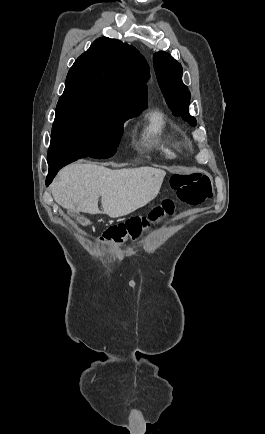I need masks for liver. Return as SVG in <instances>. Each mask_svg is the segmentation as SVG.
<instances>
[{
    "label": "liver",
    "instance_id": "obj_1",
    "mask_svg": "<svg viewBox=\"0 0 265 434\" xmlns=\"http://www.w3.org/2000/svg\"><path fill=\"white\" fill-rule=\"evenodd\" d=\"M166 172L156 168L109 170L96 164H70L59 172L52 196L68 212L120 218L143 208L160 192ZM101 196L103 212L98 208Z\"/></svg>",
    "mask_w": 265,
    "mask_h": 434
}]
</instances>
